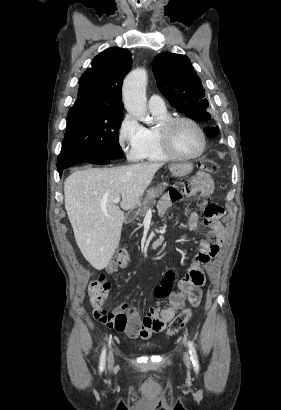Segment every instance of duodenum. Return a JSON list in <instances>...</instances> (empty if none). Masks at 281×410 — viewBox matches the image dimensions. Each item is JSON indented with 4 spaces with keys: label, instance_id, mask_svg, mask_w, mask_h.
<instances>
[{
    "label": "duodenum",
    "instance_id": "duodenum-1",
    "mask_svg": "<svg viewBox=\"0 0 281 410\" xmlns=\"http://www.w3.org/2000/svg\"><path fill=\"white\" fill-rule=\"evenodd\" d=\"M135 215H136L135 209L129 210V211L126 213V215H125V221H126V222L132 221V220L135 218ZM159 244H160V242H159V240H158V241H156V242L153 244V246H154V247H158Z\"/></svg>",
    "mask_w": 281,
    "mask_h": 410
}]
</instances>
